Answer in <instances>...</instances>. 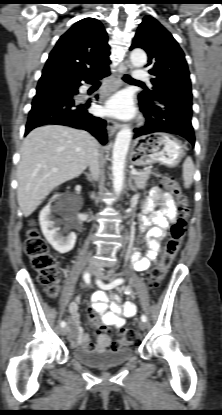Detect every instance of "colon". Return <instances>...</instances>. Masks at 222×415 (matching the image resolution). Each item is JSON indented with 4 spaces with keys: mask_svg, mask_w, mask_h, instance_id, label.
<instances>
[{
    "mask_svg": "<svg viewBox=\"0 0 222 415\" xmlns=\"http://www.w3.org/2000/svg\"><path fill=\"white\" fill-rule=\"evenodd\" d=\"M160 181L177 198L180 204L181 216L171 225L165 248L156 265L146 276V282L151 289H157L160 286L175 259L185 233L186 215L189 211L187 197L179 184L169 176L160 177ZM25 251L31 258L33 267L38 271L39 280L46 287L48 295L51 297L56 296L58 293V262L48 251L47 244L35 230H30L27 234ZM90 316L99 331L104 332L108 329V326L104 322L99 321L98 311L94 307L90 311ZM139 339V334L136 331L124 330L111 343V348L118 349L122 346L137 342Z\"/></svg>",
    "mask_w": 222,
    "mask_h": 415,
    "instance_id": "1",
    "label": "colon"
}]
</instances>
